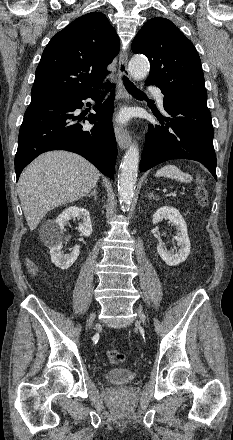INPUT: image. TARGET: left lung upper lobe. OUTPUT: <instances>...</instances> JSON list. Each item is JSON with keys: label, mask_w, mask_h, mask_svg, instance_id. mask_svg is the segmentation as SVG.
I'll return each mask as SVG.
<instances>
[{"label": "left lung upper lobe", "mask_w": 233, "mask_h": 440, "mask_svg": "<svg viewBox=\"0 0 233 440\" xmlns=\"http://www.w3.org/2000/svg\"><path fill=\"white\" fill-rule=\"evenodd\" d=\"M132 51L148 58L150 73L146 82L158 86L163 94L207 99L199 55L168 19L147 21L133 40Z\"/></svg>", "instance_id": "1"}]
</instances>
